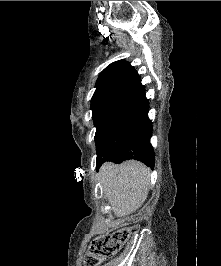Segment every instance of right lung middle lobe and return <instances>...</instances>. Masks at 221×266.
I'll return each mask as SVG.
<instances>
[{"label":"right lung middle lobe","mask_w":221,"mask_h":266,"mask_svg":"<svg viewBox=\"0 0 221 266\" xmlns=\"http://www.w3.org/2000/svg\"><path fill=\"white\" fill-rule=\"evenodd\" d=\"M143 89V87L138 86H121L103 89L94 93L91 100V110L96 127V149L112 133Z\"/></svg>","instance_id":"obj_1"}]
</instances>
